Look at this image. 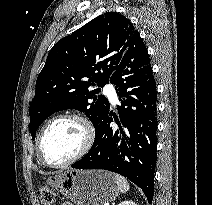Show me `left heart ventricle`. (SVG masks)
<instances>
[{
  "label": "left heart ventricle",
  "instance_id": "left-heart-ventricle-1",
  "mask_svg": "<svg viewBox=\"0 0 212 205\" xmlns=\"http://www.w3.org/2000/svg\"><path fill=\"white\" fill-rule=\"evenodd\" d=\"M84 142L81 125L74 120H60L44 134L42 152L47 161L61 163L74 156Z\"/></svg>",
  "mask_w": 212,
  "mask_h": 205
}]
</instances>
